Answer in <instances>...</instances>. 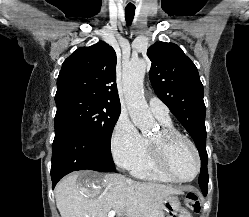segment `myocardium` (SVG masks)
<instances>
[{
    "label": "myocardium",
    "mask_w": 249,
    "mask_h": 217,
    "mask_svg": "<svg viewBox=\"0 0 249 217\" xmlns=\"http://www.w3.org/2000/svg\"><path fill=\"white\" fill-rule=\"evenodd\" d=\"M176 140L185 141L192 149L196 159V170L194 174L189 178H181L177 176L171 169L169 164V148L171 144ZM150 148L153 159L159 168L167 177L175 182H190L194 180L201 170V157L199 150L195 143L182 132L172 128H162L159 132V138L157 140L150 141Z\"/></svg>",
    "instance_id": "f54148a6"
}]
</instances>
